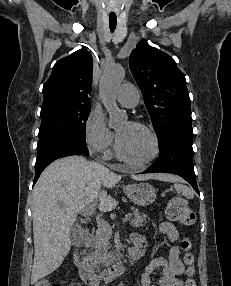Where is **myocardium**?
Returning <instances> with one entry per match:
<instances>
[{
    "mask_svg": "<svg viewBox=\"0 0 231 286\" xmlns=\"http://www.w3.org/2000/svg\"><path fill=\"white\" fill-rule=\"evenodd\" d=\"M130 124L137 127V128L144 130L145 132H147L151 136V138L153 140V153H152V155L149 158H147L146 160L141 161V162L133 161V160L129 159L122 152L118 138H116V141H115V153H116L117 157L120 160H122L123 162H125L126 164L133 166V167H136V168H144V167L148 166L149 164H151L159 156L160 141H159L157 133L151 127L147 126L146 124L141 123V122H137V121L130 122Z\"/></svg>",
    "mask_w": 231,
    "mask_h": 286,
    "instance_id": "myocardium-1",
    "label": "myocardium"
}]
</instances>
